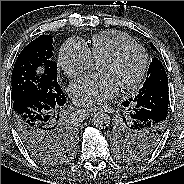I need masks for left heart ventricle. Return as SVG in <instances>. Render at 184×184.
Segmentation results:
<instances>
[{"label":"left heart ventricle","instance_id":"obj_1","mask_svg":"<svg viewBox=\"0 0 184 184\" xmlns=\"http://www.w3.org/2000/svg\"><path fill=\"white\" fill-rule=\"evenodd\" d=\"M141 62V54L136 50H131L124 54L116 63L100 62L97 70L101 74H107L113 77L120 86L136 75Z\"/></svg>","mask_w":184,"mask_h":184}]
</instances>
